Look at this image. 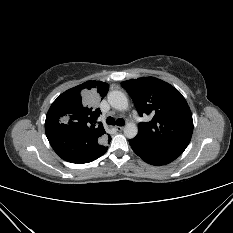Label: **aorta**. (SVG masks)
<instances>
[{"label": "aorta", "mask_w": 233, "mask_h": 233, "mask_svg": "<svg viewBox=\"0 0 233 233\" xmlns=\"http://www.w3.org/2000/svg\"><path fill=\"white\" fill-rule=\"evenodd\" d=\"M109 104L119 111H124L128 108V99L124 93L121 91H111L108 93ZM138 133L137 125L133 122L127 123L124 127V135L132 139L136 137Z\"/></svg>", "instance_id": "obj_1"}]
</instances>
